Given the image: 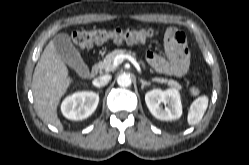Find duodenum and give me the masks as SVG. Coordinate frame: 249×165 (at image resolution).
I'll use <instances>...</instances> for the list:
<instances>
[{
	"label": "duodenum",
	"instance_id": "obj_1",
	"mask_svg": "<svg viewBox=\"0 0 249 165\" xmlns=\"http://www.w3.org/2000/svg\"><path fill=\"white\" fill-rule=\"evenodd\" d=\"M99 71H100V64L95 63L90 70L89 77L90 78L95 77L99 73Z\"/></svg>",
	"mask_w": 249,
	"mask_h": 165
}]
</instances>
